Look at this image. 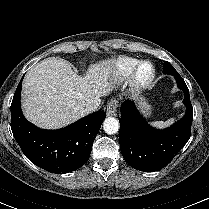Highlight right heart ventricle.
I'll list each match as a JSON object with an SVG mask.
<instances>
[{"mask_svg":"<svg viewBox=\"0 0 209 209\" xmlns=\"http://www.w3.org/2000/svg\"><path fill=\"white\" fill-rule=\"evenodd\" d=\"M139 62L140 61L136 58L121 57L115 61L112 68V73L115 77L119 79H129Z\"/></svg>","mask_w":209,"mask_h":209,"instance_id":"1","label":"right heart ventricle"}]
</instances>
